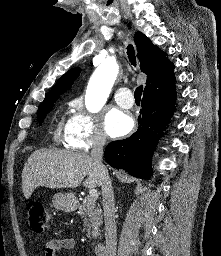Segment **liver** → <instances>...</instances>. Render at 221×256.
<instances>
[{"instance_id":"liver-1","label":"liver","mask_w":221,"mask_h":256,"mask_svg":"<svg viewBox=\"0 0 221 256\" xmlns=\"http://www.w3.org/2000/svg\"><path fill=\"white\" fill-rule=\"evenodd\" d=\"M101 186L100 171L86 153L67 150H38L28 158L22 172V189L26 199L41 186L51 189Z\"/></svg>"}]
</instances>
